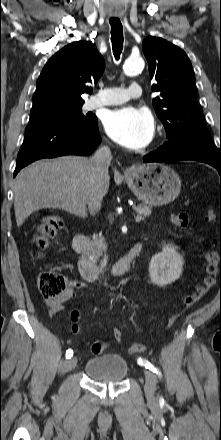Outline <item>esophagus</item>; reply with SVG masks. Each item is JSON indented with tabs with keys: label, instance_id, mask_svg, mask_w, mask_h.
<instances>
[{
	"label": "esophagus",
	"instance_id": "34e87169",
	"mask_svg": "<svg viewBox=\"0 0 221 440\" xmlns=\"http://www.w3.org/2000/svg\"><path fill=\"white\" fill-rule=\"evenodd\" d=\"M130 171V168H127L126 170H125V172H129Z\"/></svg>",
	"mask_w": 221,
	"mask_h": 440
}]
</instances>
